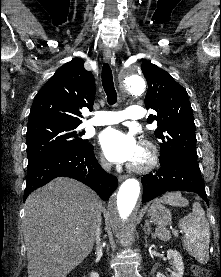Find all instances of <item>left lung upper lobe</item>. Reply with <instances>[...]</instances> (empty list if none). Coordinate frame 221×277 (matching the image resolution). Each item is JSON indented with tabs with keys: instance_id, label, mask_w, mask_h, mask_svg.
<instances>
[{
	"instance_id": "obj_1",
	"label": "left lung upper lobe",
	"mask_w": 221,
	"mask_h": 277,
	"mask_svg": "<svg viewBox=\"0 0 221 277\" xmlns=\"http://www.w3.org/2000/svg\"><path fill=\"white\" fill-rule=\"evenodd\" d=\"M142 71L148 83L145 106L157 112L147 122L158 126L155 135L161 141L160 163L180 162L200 171L187 91L169 73L148 61L142 63Z\"/></svg>"
}]
</instances>
